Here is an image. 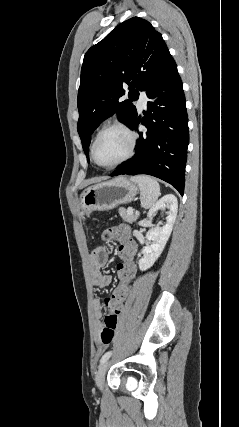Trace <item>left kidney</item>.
Segmentation results:
<instances>
[{
  "label": "left kidney",
  "instance_id": "left-kidney-1",
  "mask_svg": "<svg viewBox=\"0 0 239 427\" xmlns=\"http://www.w3.org/2000/svg\"><path fill=\"white\" fill-rule=\"evenodd\" d=\"M168 209L166 223L150 229L146 234L147 243L142 249L143 257L139 260V269L145 271L159 258L170 237L177 216L178 201L172 194L162 197L149 210L147 217L151 218L158 210Z\"/></svg>",
  "mask_w": 239,
  "mask_h": 427
}]
</instances>
